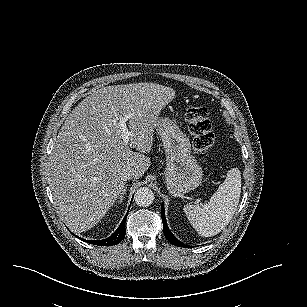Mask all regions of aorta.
I'll use <instances>...</instances> for the list:
<instances>
[{
    "instance_id": "1",
    "label": "aorta",
    "mask_w": 307,
    "mask_h": 307,
    "mask_svg": "<svg viewBox=\"0 0 307 307\" xmlns=\"http://www.w3.org/2000/svg\"><path fill=\"white\" fill-rule=\"evenodd\" d=\"M134 200L138 206L148 207L154 201V193L148 187H141L135 193Z\"/></svg>"
}]
</instances>
